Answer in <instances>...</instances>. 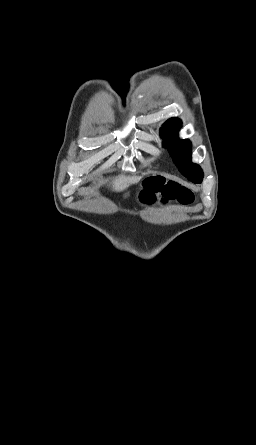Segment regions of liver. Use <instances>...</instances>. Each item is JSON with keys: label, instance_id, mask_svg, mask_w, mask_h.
<instances>
[{"label": "liver", "instance_id": "6515ba94", "mask_svg": "<svg viewBox=\"0 0 256 445\" xmlns=\"http://www.w3.org/2000/svg\"><path fill=\"white\" fill-rule=\"evenodd\" d=\"M139 179H140V177H138V176L130 177V176L120 175V176L113 178L110 185H112V189L114 191H122L125 188H127L130 184L138 181ZM100 184H103V182H100Z\"/></svg>", "mask_w": 256, "mask_h": 445}]
</instances>
